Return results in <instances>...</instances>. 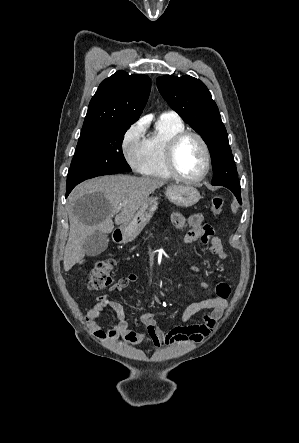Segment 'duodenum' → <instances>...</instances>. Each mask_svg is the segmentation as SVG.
Masks as SVG:
<instances>
[{
  "label": "duodenum",
  "instance_id": "410a0bca",
  "mask_svg": "<svg viewBox=\"0 0 299 443\" xmlns=\"http://www.w3.org/2000/svg\"><path fill=\"white\" fill-rule=\"evenodd\" d=\"M114 239H115L116 242L122 241L123 237H122V235H121L119 230H116L114 232Z\"/></svg>",
  "mask_w": 299,
  "mask_h": 443
}]
</instances>
